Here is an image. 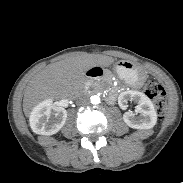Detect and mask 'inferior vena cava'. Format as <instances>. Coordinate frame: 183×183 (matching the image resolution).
Masks as SVG:
<instances>
[{
  "mask_svg": "<svg viewBox=\"0 0 183 183\" xmlns=\"http://www.w3.org/2000/svg\"><path fill=\"white\" fill-rule=\"evenodd\" d=\"M77 105L80 106H85L89 104V99L87 96H80L77 101H76Z\"/></svg>",
  "mask_w": 183,
  "mask_h": 183,
  "instance_id": "inferior-vena-cava-1",
  "label": "inferior vena cava"
}]
</instances>
